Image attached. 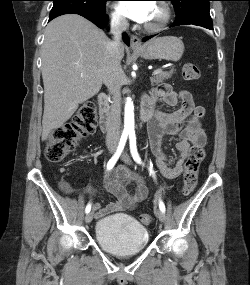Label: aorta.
<instances>
[{"mask_svg": "<svg viewBox=\"0 0 250 285\" xmlns=\"http://www.w3.org/2000/svg\"><path fill=\"white\" fill-rule=\"evenodd\" d=\"M124 135L134 134V105L130 98L125 103Z\"/></svg>", "mask_w": 250, "mask_h": 285, "instance_id": "1", "label": "aorta"}]
</instances>
